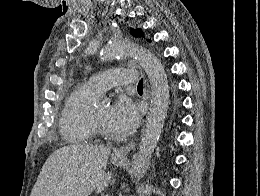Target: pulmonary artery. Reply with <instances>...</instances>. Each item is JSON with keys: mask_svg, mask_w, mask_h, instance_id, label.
I'll return each instance as SVG.
<instances>
[{"mask_svg": "<svg viewBox=\"0 0 260 196\" xmlns=\"http://www.w3.org/2000/svg\"><path fill=\"white\" fill-rule=\"evenodd\" d=\"M137 69H102L99 72V76H94V79H90V84L93 85V90L102 95L106 90H110V84H137Z\"/></svg>", "mask_w": 260, "mask_h": 196, "instance_id": "1", "label": "pulmonary artery"}]
</instances>
